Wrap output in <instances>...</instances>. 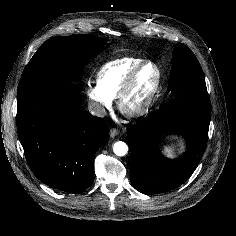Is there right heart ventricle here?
I'll list each match as a JSON object with an SVG mask.
<instances>
[{
    "label": "right heart ventricle",
    "mask_w": 236,
    "mask_h": 236,
    "mask_svg": "<svg viewBox=\"0 0 236 236\" xmlns=\"http://www.w3.org/2000/svg\"><path fill=\"white\" fill-rule=\"evenodd\" d=\"M143 61L140 57H123L106 63L97 73V85L111 99L117 98L128 74Z\"/></svg>",
    "instance_id": "right-heart-ventricle-1"
}]
</instances>
